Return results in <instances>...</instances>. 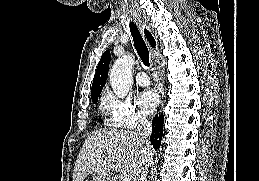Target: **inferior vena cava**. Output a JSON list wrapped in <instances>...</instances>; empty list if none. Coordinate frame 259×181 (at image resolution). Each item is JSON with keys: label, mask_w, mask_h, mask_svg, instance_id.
<instances>
[{"label": "inferior vena cava", "mask_w": 259, "mask_h": 181, "mask_svg": "<svg viewBox=\"0 0 259 181\" xmlns=\"http://www.w3.org/2000/svg\"><path fill=\"white\" fill-rule=\"evenodd\" d=\"M152 132V124L145 115H141L137 126V136L143 146V152L147 153L151 149L148 137ZM149 165L143 164V168L137 178V181H146Z\"/></svg>", "instance_id": "602c4592"}]
</instances>
